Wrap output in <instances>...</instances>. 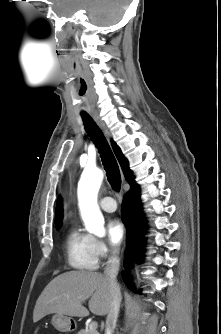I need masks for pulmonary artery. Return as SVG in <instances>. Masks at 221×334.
Wrapping results in <instances>:
<instances>
[{
	"label": "pulmonary artery",
	"mask_w": 221,
	"mask_h": 334,
	"mask_svg": "<svg viewBox=\"0 0 221 334\" xmlns=\"http://www.w3.org/2000/svg\"><path fill=\"white\" fill-rule=\"evenodd\" d=\"M100 207L106 212H114L117 209V203L113 197L106 196L101 199Z\"/></svg>",
	"instance_id": "pulmonary-artery-1"
}]
</instances>
